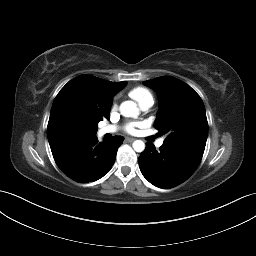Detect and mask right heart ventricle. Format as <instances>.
I'll list each match as a JSON object with an SVG mask.
<instances>
[{"label": "right heart ventricle", "mask_w": 256, "mask_h": 256, "mask_svg": "<svg viewBox=\"0 0 256 256\" xmlns=\"http://www.w3.org/2000/svg\"><path fill=\"white\" fill-rule=\"evenodd\" d=\"M128 94L139 104L140 107L144 104L154 103L153 93L148 88L138 86L131 89Z\"/></svg>", "instance_id": "right-heart-ventricle-1"}]
</instances>
